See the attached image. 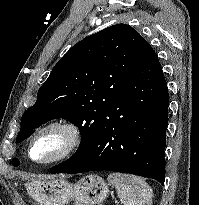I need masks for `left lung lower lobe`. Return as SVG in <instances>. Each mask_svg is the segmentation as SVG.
<instances>
[{"instance_id": "0a47b994", "label": "left lung lower lobe", "mask_w": 199, "mask_h": 205, "mask_svg": "<svg viewBox=\"0 0 199 205\" xmlns=\"http://www.w3.org/2000/svg\"><path fill=\"white\" fill-rule=\"evenodd\" d=\"M168 102L160 62L145 40L91 146L60 173L106 170L149 177L164 184Z\"/></svg>"}]
</instances>
